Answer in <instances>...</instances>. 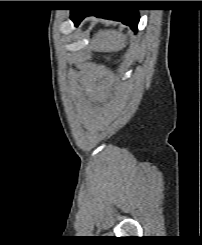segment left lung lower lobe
<instances>
[{
	"label": "left lung lower lobe",
	"mask_w": 202,
	"mask_h": 245,
	"mask_svg": "<svg viewBox=\"0 0 202 245\" xmlns=\"http://www.w3.org/2000/svg\"><path fill=\"white\" fill-rule=\"evenodd\" d=\"M94 15L96 17L121 21L123 24L130 26L133 31H137L139 14L138 10L130 8H114V9H73L71 10V19L75 26L87 16Z\"/></svg>",
	"instance_id": "1"
}]
</instances>
